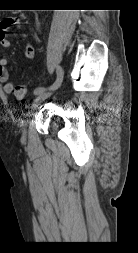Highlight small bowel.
Listing matches in <instances>:
<instances>
[{
    "instance_id": "small-bowel-1",
    "label": "small bowel",
    "mask_w": 138,
    "mask_h": 253,
    "mask_svg": "<svg viewBox=\"0 0 138 253\" xmlns=\"http://www.w3.org/2000/svg\"><path fill=\"white\" fill-rule=\"evenodd\" d=\"M10 26H16L23 29V24L19 19L6 18L0 21V45L4 48H9L11 42L8 37V29ZM23 36L26 35L23 33ZM24 55L31 60L35 56V48L30 41H26L24 45ZM8 61L5 57L0 56V82L4 84L3 89L6 94H11L14 90V84L9 81V72L7 69Z\"/></svg>"
}]
</instances>
